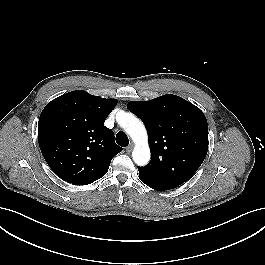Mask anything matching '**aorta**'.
<instances>
[{
  "mask_svg": "<svg viewBox=\"0 0 265 265\" xmlns=\"http://www.w3.org/2000/svg\"><path fill=\"white\" fill-rule=\"evenodd\" d=\"M120 125L135 143V147L132 152L134 162L139 166L146 165L150 160V148L144 124L134 115L125 114L120 121Z\"/></svg>",
  "mask_w": 265,
  "mask_h": 265,
  "instance_id": "762f6f07",
  "label": "aorta"
}]
</instances>
